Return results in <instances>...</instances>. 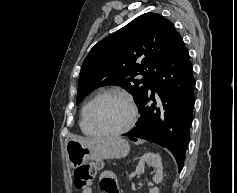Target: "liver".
Wrapping results in <instances>:
<instances>
[{
    "label": "liver",
    "mask_w": 237,
    "mask_h": 193,
    "mask_svg": "<svg viewBox=\"0 0 237 193\" xmlns=\"http://www.w3.org/2000/svg\"><path fill=\"white\" fill-rule=\"evenodd\" d=\"M73 140H76L80 143H83V144H88V143H92V142H99L101 140H92V139H89V138H82V137H74L72 138Z\"/></svg>",
    "instance_id": "1"
}]
</instances>
